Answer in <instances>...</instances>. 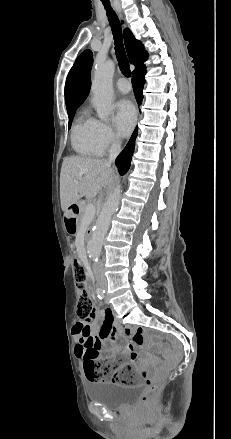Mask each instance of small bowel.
Wrapping results in <instances>:
<instances>
[{
  "instance_id": "obj_1",
  "label": "small bowel",
  "mask_w": 231,
  "mask_h": 439,
  "mask_svg": "<svg viewBox=\"0 0 231 439\" xmlns=\"http://www.w3.org/2000/svg\"><path fill=\"white\" fill-rule=\"evenodd\" d=\"M88 292L91 297L94 296L92 284L89 285ZM99 317L100 310L96 307L89 320H79L75 323L73 327V334L77 341L75 355L84 359L85 354L92 351L97 356L101 355L110 359L113 357L115 343L122 340L124 346L118 358L120 365L134 364L135 367L141 368L144 375H147L148 358L145 354L138 352V348L143 343L141 332L117 327L114 324L111 309L106 310L105 320L101 325L97 324ZM94 331H96L95 334Z\"/></svg>"
}]
</instances>
